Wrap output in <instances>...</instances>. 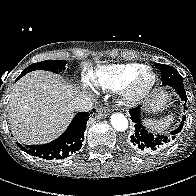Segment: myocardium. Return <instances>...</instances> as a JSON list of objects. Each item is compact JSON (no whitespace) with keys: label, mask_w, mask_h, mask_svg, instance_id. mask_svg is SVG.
<instances>
[{"label":"myocardium","mask_w":196,"mask_h":196,"mask_svg":"<svg viewBox=\"0 0 196 196\" xmlns=\"http://www.w3.org/2000/svg\"><path fill=\"white\" fill-rule=\"evenodd\" d=\"M147 78H149L147 80ZM158 80L155 71L145 66L134 75L122 88L124 100L130 104L144 100L153 90Z\"/></svg>","instance_id":"obj_1"}]
</instances>
